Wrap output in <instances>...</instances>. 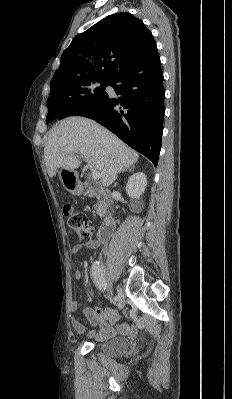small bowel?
Segmentation results:
<instances>
[{"label": "small bowel", "mask_w": 232, "mask_h": 399, "mask_svg": "<svg viewBox=\"0 0 232 399\" xmlns=\"http://www.w3.org/2000/svg\"><path fill=\"white\" fill-rule=\"evenodd\" d=\"M100 247L98 242H79L75 245V251H79L85 248L96 250ZM85 266L84 258L78 259V267L82 270ZM78 271V278L83 277L82 271ZM79 307V300L73 298L70 300L69 310L71 313L76 312ZM84 316L88 321V326L91 328L89 336L91 338H98L100 340H110L117 332H137L142 329L143 324L141 322L133 323H120L115 320L119 316V310L113 307H99V306H87L82 309ZM99 318H107V322H99ZM72 324L74 330L77 333H84L86 330L85 325L77 318H72Z\"/></svg>", "instance_id": "1"}]
</instances>
